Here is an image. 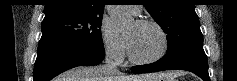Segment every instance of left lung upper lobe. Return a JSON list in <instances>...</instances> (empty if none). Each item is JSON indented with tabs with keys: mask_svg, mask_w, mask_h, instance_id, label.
Returning a JSON list of instances; mask_svg holds the SVG:
<instances>
[{
	"mask_svg": "<svg viewBox=\"0 0 237 81\" xmlns=\"http://www.w3.org/2000/svg\"><path fill=\"white\" fill-rule=\"evenodd\" d=\"M167 34L168 49L162 58L171 61L203 47V35L193 0H146L144 5Z\"/></svg>",
	"mask_w": 237,
	"mask_h": 81,
	"instance_id": "obj_1",
	"label": "left lung upper lobe"
}]
</instances>
